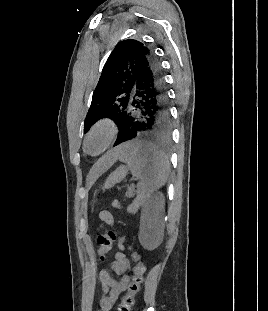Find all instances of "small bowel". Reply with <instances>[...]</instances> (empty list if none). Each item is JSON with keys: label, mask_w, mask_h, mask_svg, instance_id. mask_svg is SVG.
Listing matches in <instances>:
<instances>
[{"label": "small bowel", "mask_w": 268, "mask_h": 311, "mask_svg": "<svg viewBox=\"0 0 268 311\" xmlns=\"http://www.w3.org/2000/svg\"><path fill=\"white\" fill-rule=\"evenodd\" d=\"M100 218L106 223L112 225L113 219L110 213L104 212ZM119 251L115 254V259L110 265V270H101L99 272V280L102 284L103 295L97 302L101 311H109L117 301L123 291L127 289L129 284L131 271V262L124 254V246L119 244ZM114 275L120 276L115 278Z\"/></svg>", "instance_id": "1"}]
</instances>
